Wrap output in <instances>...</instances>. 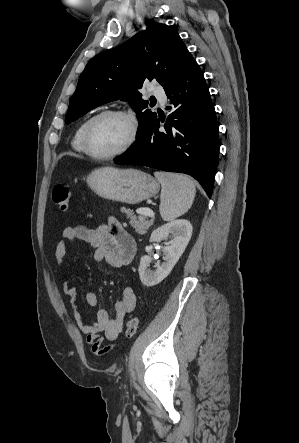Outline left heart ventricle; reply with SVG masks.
<instances>
[{
  "label": "left heart ventricle",
  "instance_id": "obj_1",
  "mask_svg": "<svg viewBox=\"0 0 299 443\" xmlns=\"http://www.w3.org/2000/svg\"><path fill=\"white\" fill-rule=\"evenodd\" d=\"M129 135L130 125L126 119L105 116L93 124L89 134V144L95 153L108 154L121 148Z\"/></svg>",
  "mask_w": 299,
  "mask_h": 443
}]
</instances>
